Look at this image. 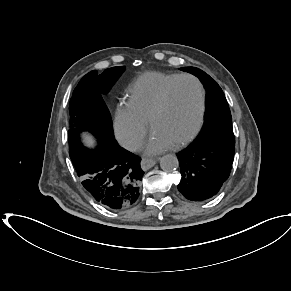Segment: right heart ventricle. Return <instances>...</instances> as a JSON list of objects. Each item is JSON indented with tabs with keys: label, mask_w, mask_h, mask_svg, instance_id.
<instances>
[{
	"label": "right heart ventricle",
	"mask_w": 291,
	"mask_h": 291,
	"mask_svg": "<svg viewBox=\"0 0 291 291\" xmlns=\"http://www.w3.org/2000/svg\"><path fill=\"white\" fill-rule=\"evenodd\" d=\"M178 75L149 72L138 77L128 91L127 105L139 119L148 122L165 87Z\"/></svg>",
	"instance_id": "right-heart-ventricle-1"
}]
</instances>
